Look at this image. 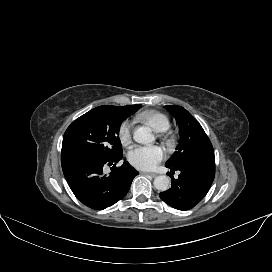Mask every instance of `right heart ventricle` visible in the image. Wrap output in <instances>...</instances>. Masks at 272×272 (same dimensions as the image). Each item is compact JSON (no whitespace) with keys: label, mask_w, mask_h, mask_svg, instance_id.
<instances>
[{"label":"right heart ventricle","mask_w":272,"mask_h":272,"mask_svg":"<svg viewBox=\"0 0 272 272\" xmlns=\"http://www.w3.org/2000/svg\"><path fill=\"white\" fill-rule=\"evenodd\" d=\"M138 118L149 124L157 132H165L170 127L168 116L157 110H146Z\"/></svg>","instance_id":"1"}]
</instances>
